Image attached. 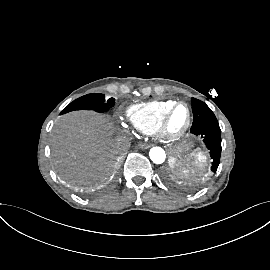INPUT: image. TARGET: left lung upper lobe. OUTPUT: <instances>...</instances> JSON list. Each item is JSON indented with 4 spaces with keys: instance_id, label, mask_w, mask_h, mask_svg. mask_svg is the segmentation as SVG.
<instances>
[{
    "instance_id": "5c2ea615",
    "label": "left lung upper lobe",
    "mask_w": 270,
    "mask_h": 270,
    "mask_svg": "<svg viewBox=\"0 0 270 270\" xmlns=\"http://www.w3.org/2000/svg\"><path fill=\"white\" fill-rule=\"evenodd\" d=\"M193 124L191 128L199 127L206 123H218L214 113L202 101L192 98Z\"/></svg>"
}]
</instances>
